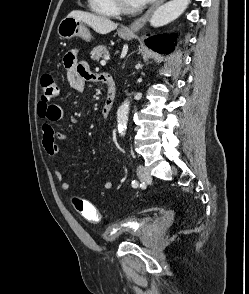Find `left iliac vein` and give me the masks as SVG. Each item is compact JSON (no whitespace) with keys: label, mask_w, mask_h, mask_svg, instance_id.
<instances>
[{"label":"left iliac vein","mask_w":249,"mask_h":294,"mask_svg":"<svg viewBox=\"0 0 249 294\" xmlns=\"http://www.w3.org/2000/svg\"><path fill=\"white\" fill-rule=\"evenodd\" d=\"M137 175L139 179L143 182H150L152 179L149 171L143 165L137 166Z\"/></svg>","instance_id":"obj_1"}]
</instances>
